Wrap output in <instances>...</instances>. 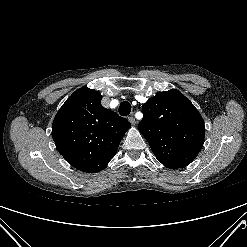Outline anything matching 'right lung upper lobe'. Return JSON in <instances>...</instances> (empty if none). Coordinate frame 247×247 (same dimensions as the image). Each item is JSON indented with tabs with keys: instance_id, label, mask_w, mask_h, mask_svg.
Instances as JSON below:
<instances>
[{
	"instance_id": "cb5924a9",
	"label": "right lung upper lobe",
	"mask_w": 247,
	"mask_h": 247,
	"mask_svg": "<svg viewBox=\"0 0 247 247\" xmlns=\"http://www.w3.org/2000/svg\"><path fill=\"white\" fill-rule=\"evenodd\" d=\"M101 94L83 87L57 112L52 138L57 150L76 169L101 171L115 156L121 139L131 127L127 119L101 105Z\"/></svg>"
}]
</instances>
